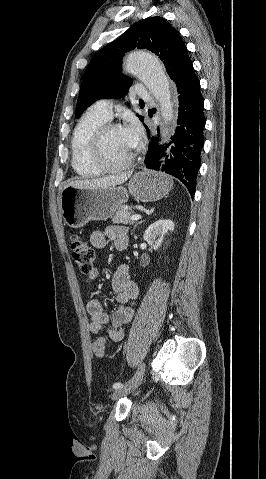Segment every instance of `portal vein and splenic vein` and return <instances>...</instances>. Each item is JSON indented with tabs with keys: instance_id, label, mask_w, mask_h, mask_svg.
Here are the masks:
<instances>
[{
	"instance_id": "obj_1",
	"label": "portal vein and splenic vein",
	"mask_w": 266,
	"mask_h": 479,
	"mask_svg": "<svg viewBox=\"0 0 266 479\" xmlns=\"http://www.w3.org/2000/svg\"><path fill=\"white\" fill-rule=\"evenodd\" d=\"M130 219L133 220V221H134V220H139V219H141V215H139V214H134V215H132V216L130 217Z\"/></svg>"
}]
</instances>
